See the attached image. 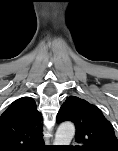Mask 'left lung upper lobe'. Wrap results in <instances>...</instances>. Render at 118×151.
Segmentation results:
<instances>
[{
    "label": "left lung upper lobe",
    "instance_id": "1",
    "mask_svg": "<svg viewBox=\"0 0 118 151\" xmlns=\"http://www.w3.org/2000/svg\"><path fill=\"white\" fill-rule=\"evenodd\" d=\"M72 121L79 151H118V140L112 124L101 110L77 96H70L57 114V122Z\"/></svg>",
    "mask_w": 118,
    "mask_h": 151
}]
</instances>
